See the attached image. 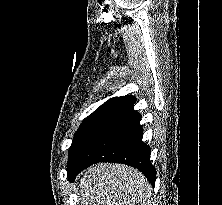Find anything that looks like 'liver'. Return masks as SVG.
I'll use <instances>...</instances> for the list:
<instances>
[{"label": "liver", "mask_w": 222, "mask_h": 205, "mask_svg": "<svg viewBox=\"0 0 222 205\" xmlns=\"http://www.w3.org/2000/svg\"><path fill=\"white\" fill-rule=\"evenodd\" d=\"M82 205H152V187L133 167L100 163L80 180Z\"/></svg>", "instance_id": "liver-1"}]
</instances>
